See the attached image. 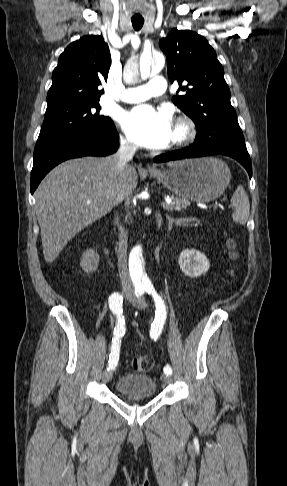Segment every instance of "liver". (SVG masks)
<instances>
[{
  "label": "liver",
  "mask_w": 287,
  "mask_h": 486,
  "mask_svg": "<svg viewBox=\"0 0 287 486\" xmlns=\"http://www.w3.org/2000/svg\"><path fill=\"white\" fill-rule=\"evenodd\" d=\"M137 183L136 169L128 165L121 178L111 157L68 160L50 171L35 192L45 261L52 263L76 234L131 195Z\"/></svg>",
  "instance_id": "obj_1"
}]
</instances>
